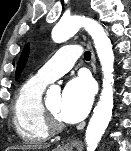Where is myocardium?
I'll return each mask as SVG.
<instances>
[{"mask_svg": "<svg viewBox=\"0 0 131 151\" xmlns=\"http://www.w3.org/2000/svg\"><path fill=\"white\" fill-rule=\"evenodd\" d=\"M43 111L50 132H60L65 128V124L49 108L47 100L43 101Z\"/></svg>", "mask_w": 131, "mask_h": 151, "instance_id": "obj_1", "label": "myocardium"}]
</instances>
